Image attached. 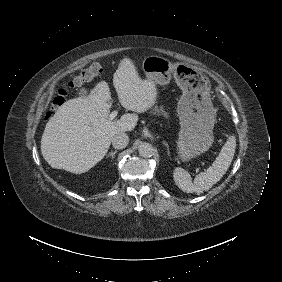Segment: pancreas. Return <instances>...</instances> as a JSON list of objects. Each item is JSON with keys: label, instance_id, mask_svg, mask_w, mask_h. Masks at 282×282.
Returning a JSON list of instances; mask_svg holds the SVG:
<instances>
[{"label": "pancreas", "instance_id": "1", "mask_svg": "<svg viewBox=\"0 0 282 282\" xmlns=\"http://www.w3.org/2000/svg\"><path fill=\"white\" fill-rule=\"evenodd\" d=\"M150 113L153 115L164 116L165 118H169V113L164 110L163 106H154L151 109Z\"/></svg>", "mask_w": 282, "mask_h": 282}]
</instances>
